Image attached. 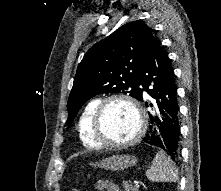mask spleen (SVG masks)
<instances>
[{
  "mask_svg": "<svg viewBox=\"0 0 221 191\" xmlns=\"http://www.w3.org/2000/svg\"><path fill=\"white\" fill-rule=\"evenodd\" d=\"M146 176L151 182H177L178 170L164 152H158Z\"/></svg>",
  "mask_w": 221,
  "mask_h": 191,
  "instance_id": "3e777b00",
  "label": "spleen"
}]
</instances>
